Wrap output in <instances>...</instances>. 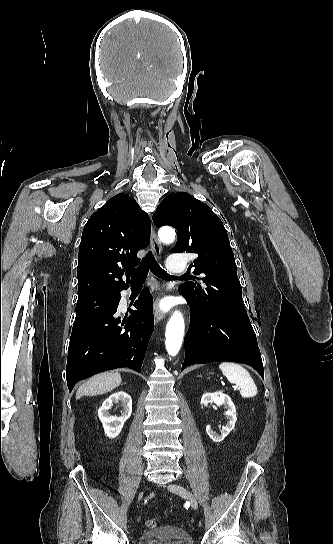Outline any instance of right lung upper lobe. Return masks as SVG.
I'll use <instances>...</instances> for the list:
<instances>
[{"mask_svg": "<svg viewBox=\"0 0 333 544\" xmlns=\"http://www.w3.org/2000/svg\"><path fill=\"white\" fill-rule=\"evenodd\" d=\"M150 219L134 198L120 193L91 215L78 254V300L118 294L122 280L139 264L137 252L148 245Z\"/></svg>", "mask_w": 333, "mask_h": 544, "instance_id": "right-lung-upper-lobe-1", "label": "right lung upper lobe"}]
</instances>
